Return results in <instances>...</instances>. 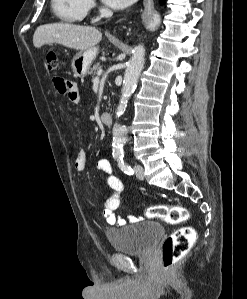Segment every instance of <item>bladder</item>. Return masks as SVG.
<instances>
[{
    "label": "bladder",
    "instance_id": "obj_1",
    "mask_svg": "<svg viewBox=\"0 0 247 299\" xmlns=\"http://www.w3.org/2000/svg\"><path fill=\"white\" fill-rule=\"evenodd\" d=\"M165 233L156 221H140L107 231L111 247L118 252L143 255L151 251Z\"/></svg>",
    "mask_w": 247,
    "mask_h": 299
}]
</instances>
